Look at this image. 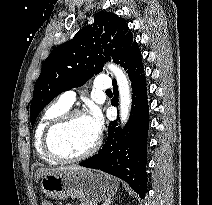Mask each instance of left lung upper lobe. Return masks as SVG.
<instances>
[{
  "label": "left lung upper lobe",
  "instance_id": "left-lung-upper-lobe-1",
  "mask_svg": "<svg viewBox=\"0 0 212 205\" xmlns=\"http://www.w3.org/2000/svg\"><path fill=\"white\" fill-rule=\"evenodd\" d=\"M134 41L123 18L109 12L97 13L93 25L84 27L73 39L56 47L44 61L34 86L31 124L51 100L85 84L102 71L105 62L113 59L122 66Z\"/></svg>",
  "mask_w": 212,
  "mask_h": 205
}]
</instances>
